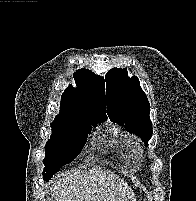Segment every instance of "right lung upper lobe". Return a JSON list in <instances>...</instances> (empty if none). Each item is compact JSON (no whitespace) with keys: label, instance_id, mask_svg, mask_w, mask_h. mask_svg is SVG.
<instances>
[{"label":"right lung upper lobe","instance_id":"cb5924a9","mask_svg":"<svg viewBox=\"0 0 196 201\" xmlns=\"http://www.w3.org/2000/svg\"><path fill=\"white\" fill-rule=\"evenodd\" d=\"M77 87L69 85L61 97L60 117L78 113L106 118L105 84L102 77L87 69H79L73 75Z\"/></svg>","mask_w":196,"mask_h":201}]
</instances>
